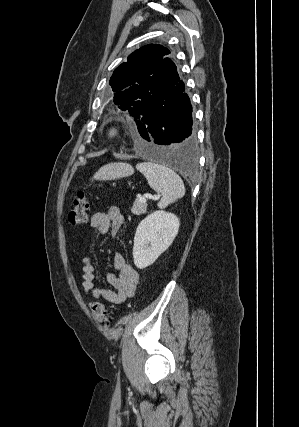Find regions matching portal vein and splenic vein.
Segmentation results:
<instances>
[{
	"instance_id": "18ae733b",
	"label": "portal vein and splenic vein",
	"mask_w": 299,
	"mask_h": 427,
	"mask_svg": "<svg viewBox=\"0 0 299 427\" xmlns=\"http://www.w3.org/2000/svg\"><path fill=\"white\" fill-rule=\"evenodd\" d=\"M146 198L153 199V200H158L160 198V195L153 196L151 194H146V195H144L143 197L140 198V201L146 202Z\"/></svg>"
}]
</instances>
